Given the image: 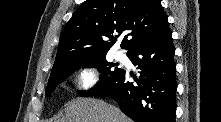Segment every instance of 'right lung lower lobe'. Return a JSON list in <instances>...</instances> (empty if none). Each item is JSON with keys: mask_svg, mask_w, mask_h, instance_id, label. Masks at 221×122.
Segmentation results:
<instances>
[{"mask_svg": "<svg viewBox=\"0 0 221 122\" xmlns=\"http://www.w3.org/2000/svg\"><path fill=\"white\" fill-rule=\"evenodd\" d=\"M168 22L127 56L140 69V80L127 81L122 70L96 97H110L135 122H175L176 64Z\"/></svg>", "mask_w": 221, "mask_h": 122, "instance_id": "obj_1", "label": "right lung lower lobe"}]
</instances>
